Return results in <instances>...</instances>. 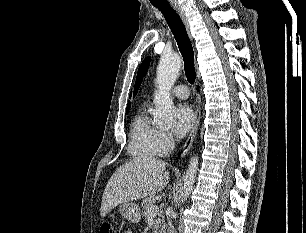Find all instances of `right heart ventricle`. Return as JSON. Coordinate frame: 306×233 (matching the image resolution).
<instances>
[{
  "mask_svg": "<svg viewBox=\"0 0 306 233\" xmlns=\"http://www.w3.org/2000/svg\"><path fill=\"white\" fill-rule=\"evenodd\" d=\"M158 130L150 120L146 109L133 119L130 129L128 151L135 159H151L157 154Z\"/></svg>",
  "mask_w": 306,
  "mask_h": 233,
  "instance_id": "right-heart-ventricle-1",
  "label": "right heart ventricle"
}]
</instances>
